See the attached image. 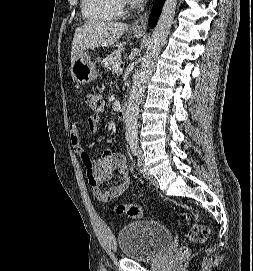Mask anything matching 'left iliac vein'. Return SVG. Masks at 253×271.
I'll return each instance as SVG.
<instances>
[{"mask_svg":"<svg viewBox=\"0 0 253 271\" xmlns=\"http://www.w3.org/2000/svg\"><path fill=\"white\" fill-rule=\"evenodd\" d=\"M137 165L144 178L149 180L152 179V175L149 173V170L144 165L143 152L140 149L137 151Z\"/></svg>","mask_w":253,"mask_h":271,"instance_id":"obj_1","label":"left iliac vein"}]
</instances>
